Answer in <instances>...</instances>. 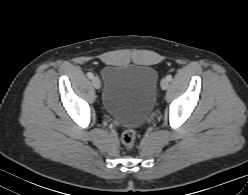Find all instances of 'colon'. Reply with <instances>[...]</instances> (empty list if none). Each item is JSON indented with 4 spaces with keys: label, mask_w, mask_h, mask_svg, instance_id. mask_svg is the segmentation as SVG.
Segmentation results:
<instances>
[{
    "label": "colon",
    "mask_w": 248,
    "mask_h": 195,
    "mask_svg": "<svg viewBox=\"0 0 248 195\" xmlns=\"http://www.w3.org/2000/svg\"><path fill=\"white\" fill-rule=\"evenodd\" d=\"M136 141V132L133 129H126L121 136V142L126 150H132Z\"/></svg>",
    "instance_id": "1"
}]
</instances>
